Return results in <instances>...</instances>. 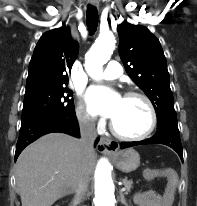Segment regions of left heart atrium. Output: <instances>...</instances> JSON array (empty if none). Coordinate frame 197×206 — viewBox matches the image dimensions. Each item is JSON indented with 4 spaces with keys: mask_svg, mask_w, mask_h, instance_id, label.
Instances as JSON below:
<instances>
[{
    "mask_svg": "<svg viewBox=\"0 0 197 206\" xmlns=\"http://www.w3.org/2000/svg\"><path fill=\"white\" fill-rule=\"evenodd\" d=\"M90 110L113 118L117 113L121 97L104 87H92L87 93Z\"/></svg>",
    "mask_w": 197,
    "mask_h": 206,
    "instance_id": "left-heart-atrium-1",
    "label": "left heart atrium"
}]
</instances>
